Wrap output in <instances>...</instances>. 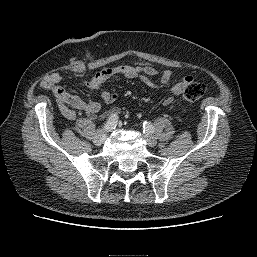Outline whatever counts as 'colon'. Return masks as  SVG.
Segmentation results:
<instances>
[{"mask_svg": "<svg viewBox=\"0 0 257 257\" xmlns=\"http://www.w3.org/2000/svg\"><path fill=\"white\" fill-rule=\"evenodd\" d=\"M42 85L45 88H52L54 86V83L51 80V78L48 77L42 82ZM204 93H205V86L200 82L191 80L187 82L186 85L184 86V89L181 95V102H187V103L196 102L203 97Z\"/></svg>", "mask_w": 257, "mask_h": 257, "instance_id": "5ec220e1", "label": "colon"}]
</instances>
